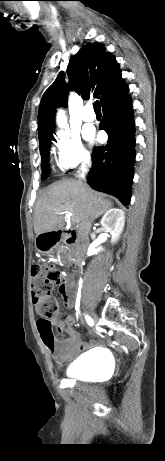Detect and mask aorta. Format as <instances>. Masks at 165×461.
Segmentation results:
<instances>
[{
	"mask_svg": "<svg viewBox=\"0 0 165 461\" xmlns=\"http://www.w3.org/2000/svg\"><path fill=\"white\" fill-rule=\"evenodd\" d=\"M56 122H57V125L60 128H64L66 126V116H65V112L63 110L58 111L57 117H56Z\"/></svg>",
	"mask_w": 165,
	"mask_h": 461,
	"instance_id": "aorta-1",
	"label": "aorta"
}]
</instances>
